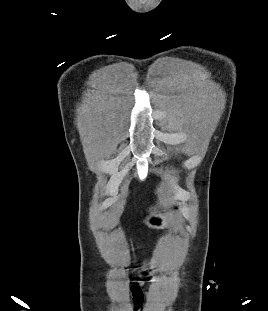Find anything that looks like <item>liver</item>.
Masks as SVG:
<instances>
[{
  "instance_id": "obj_1",
  "label": "liver",
  "mask_w": 268,
  "mask_h": 311,
  "mask_svg": "<svg viewBox=\"0 0 268 311\" xmlns=\"http://www.w3.org/2000/svg\"><path fill=\"white\" fill-rule=\"evenodd\" d=\"M166 193L167 192L165 190L164 184H161L160 187L157 189V195H158L160 205L164 204V197H165Z\"/></svg>"
}]
</instances>
